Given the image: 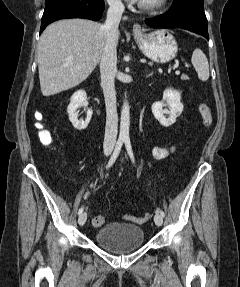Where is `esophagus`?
Instances as JSON below:
<instances>
[{"label": "esophagus", "instance_id": "1", "mask_svg": "<svg viewBox=\"0 0 240 287\" xmlns=\"http://www.w3.org/2000/svg\"><path fill=\"white\" fill-rule=\"evenodd\" d=\"M141 26L139 24H134L133 25V33L134 34H140L141 33Z\"/></svg>", "mask_w": 240, "mask_h": 287}]
</instances>
